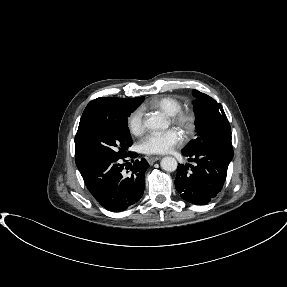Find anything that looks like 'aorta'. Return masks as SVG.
<instances>
[{"mask_svg": "<svg viewBox=\"0 0 287 287\" xmlns=\"http://www.w3.org/2000/svg\"><path fill=\"white\" fill-rule=\"evenodd\" d=\"M165 125L161 116L154 114L144 121V126L148 129L157 130L163 128ZM161 168L167 172H174L177 169V161L174 157H164L161 162Z\"/></svg>", "mask_w": 287, "mask_h": 287, "instance_id": "762f6f07", "label": "aorta"}]
</instances>
